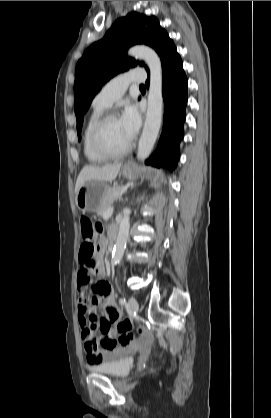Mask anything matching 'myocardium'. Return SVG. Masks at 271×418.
Instances as JSON below:
<instances>
[{
    "label": "myocardium",
    "mask_w": 271,
    "mask_h": 418,
    "mask_svg": "<svg viewBox=\"0 0 271 418\" xmlns=\"http://www.w3.org/2000/svg\"><path fill=\"white\" fill-rule=\"evenodd\" d=\"M118 118V115L114 112H107L103 114L96 124L93 127L91 133V143L94 150L99 153L100 155L107 157V158H118L128 154L132 147L133 143L130 141L128 145L118 151L110 149L103 141V133L105 130L106 125L113 119Z\"/></svg>",
    "instance_id": "f54148a6"
}]
</instances>
